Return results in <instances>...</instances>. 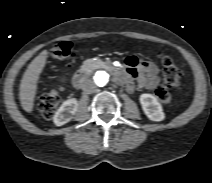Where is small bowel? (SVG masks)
Returning <instances> with one entry per match:
<instances>
[{
    "label": "small bowel",
    "instance_id": "c3829d8e",
    "mask_svg": "<svg viewBox=\"0 0 212 183\" xmlns=\"http://www.w3.org/2000/svg\"><path fill=\"white\" fill-rule=\"evenodd\" d=\"M158 66L137 56H128L124 68L118 75V80L129 92L135 88L155 90L160 84Z\"/></svg>",
    "mask_w": 212,
    "mask_h": 183
}]
</instances>
